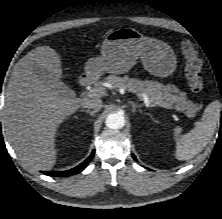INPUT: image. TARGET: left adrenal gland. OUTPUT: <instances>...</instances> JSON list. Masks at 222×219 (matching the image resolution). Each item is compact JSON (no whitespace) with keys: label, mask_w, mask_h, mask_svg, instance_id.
<instances>
[{"label":"left adrenal gland","mask_w":222,"mask_h":219,"mask_svg":"<svg viewBox=\"0 0 222 219\" xmlns=\"http://www.w3.org/2000/svg\"><path fill=\"white\" fill-rule=\"evenodd\" d=\"M129 103H130L131 106H132V112H133V113L136 112V109H137V108H140V107L142 106V105L136 104V103H134V102H132V101H130Z\"/></svg>","instance_id":"left-adrenal-gland-1"}]
</instances>
